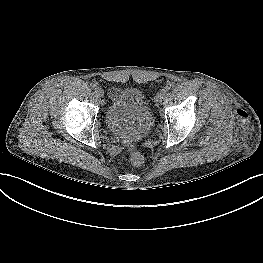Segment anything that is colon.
Instances as JSON below:
<instances>
[{"mask_svg":"<svg viewBox=\"0 0 263 263\" xmlns=\"http://www.w3.org/2000/svg\"><path fill=\"white\" fill-rule=\"evenodd\" d=\"M123 157L125 160L129 161L134 166L141 165L143 163V160H144L141 152L138 150H135V149H127L123 153Z\"/></svg>","mask_w":263,"mask_h":263,"instance_id":"obj_1","label":"colon"}]
</instances>
